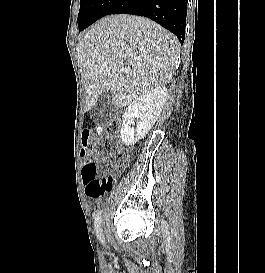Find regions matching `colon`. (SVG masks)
Masks as SVG:
<instances>
[{
  "mask_svg": "<svg viewBox=\"0 0 265 273\" xmlns=\"http://www.w3.org/2000/svg\"><path fill=\"white\" fill-rule=\"evenodd\" d=\"M120 122L118 120L111 121L107 125H100L94 131L85 129L82 133V141L84 144L83 155L85 163L82 169L83 181L87 195L104 198L113 188V178L111 176L98 178V166L96 159L100 150L108 145V141L112 140L113 135L118 131ZM127 164V156L120 154L118 157V167L121 169Z\"/></svg>",
  "mask_w": 265,
  "mask_h": 273,
  "instance_id": "colon-1",
  "label": "colon"
}]
</instances>
